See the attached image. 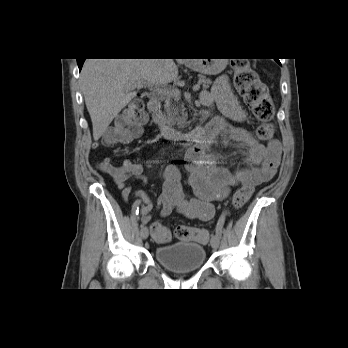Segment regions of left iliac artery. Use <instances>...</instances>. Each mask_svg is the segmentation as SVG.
<instances>
[{"mask_svg": "<svg viewBox=\"0 0 348 348\" xmlns=\"http://www.w3.org/2000/svg\"><path fill=\"white\" fill-rule=\"evenodd\" d=\"M226 214H229V209H224V212H221V216H219L218 224L216 227V235L219 237L222 236V224L224 223V217H226Z\"/></svg>", "mask_w": 348, "mask_h": 348, "instance_id": "obj_1", "label": "left iliac artery"}]
</instances>
